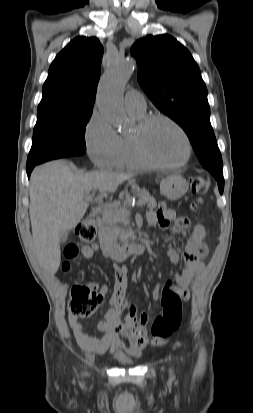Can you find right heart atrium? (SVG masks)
I'll return each instance as SVG.
<instances>
[{
	"instance_id": "obj_1",
	"label": "right heart atrium",
	"mask_w": 253,
	"mask_h": 413,
	"mask_svg": "<svg viewBox=\"0 0 253 413\" xmlns=\"http://www.w3.org/2000/svg\"><path fill=\"white\" fill-rule=\"evenodd\" d=\"M85 142L92 163L98 168L113 165L120 146V136L106 117L95 111L85 128Z\"/></svg>"
}]
</instances>
